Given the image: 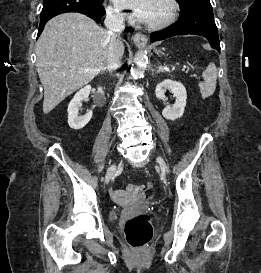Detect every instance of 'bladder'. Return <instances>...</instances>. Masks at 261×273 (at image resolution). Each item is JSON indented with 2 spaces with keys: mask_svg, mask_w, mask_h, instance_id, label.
I'll use <instances>...</instances> for the list:
<instances>
[{
  "mask_svg": "<svg viewBox=\"0 0 261 273\" xmlns=\"http://www.w3.org/2000/svg\"><path fill=\"white\" fill-rule=\"evenodd\" d=\"M121 209H122L121 205L115 206V208L112 210L111 215H110L112 220H115L118 217Z\"/></svg>",
  "mask_w": 261,
  "mask_h": 273,
  "instance_id": "obj_1",
  "label": "bladder"
}]
</instances>
